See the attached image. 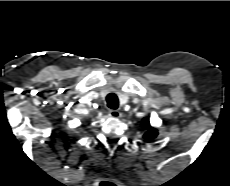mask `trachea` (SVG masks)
I'll use <instances>...</instances> for the list:
<instances>
[{"label":"trachea","mask_w":230,"mask_h":186,"mask_svg":"<svg viewBox=\"0 0 230 186\" xmlns=\"http://www.w3.org/2000/svg\"><path fill=\"white\" fill-rule=\"evenodd\" d=\"M107 106L111 109H117L119 105V100L116 94L110 93L106 97Z\"/></svg>","instance_id":"obj_1"}]
</instances>
